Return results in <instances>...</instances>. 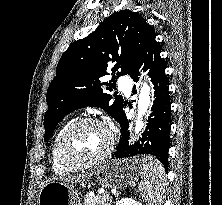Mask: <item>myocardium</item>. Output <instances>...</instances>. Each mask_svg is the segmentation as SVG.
<instances>
[{"instance_id": "myocardium-1", "label": "myocardium", "mask_w": 222, "mask_h": 205, "mask_svg": "<svg viewBox=\"0 0 222 205\" xmlns=\"http://www.w3.org/2000/svg\"><path fill=\"white\" fill-rule=\"evenodd\" d=\"M83 124H95V125L101 126L106 131V134H107V138H108L107 145L105 149L94 158H91L88 160H73L67 156L64 150V142H65L66 137L71 131H73L76 127ZM113 148H114L113 133L109 129V127L106 125V123L98 118L85 116V117H80L73 120L63 129L57 142V155L60 162L66 167L73 168V169H80V168L94 166L105 161L112 153Z\"/></svg>"}]
</instances>
